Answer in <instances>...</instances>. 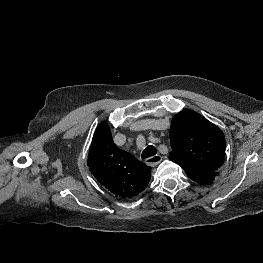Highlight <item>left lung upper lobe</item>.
I'll return each instance as SVG.
<instances>
[{"instance_id": "5c2ea615", "label": "left lung upper lobe", "mask_w": 263, "mask_h": 263, "mask_svg": "<svg viewBox=\"0 0 263 263\" xmlns=\"http://www.w3.org/2000/svg\"><path fill=\"white\" fill-rule=\"evenodd\" d=\"M169 159L188 177L218 175L225 160L226 141L222 130L200 114L185 109L171 122Z\"/></svg>"}]
</instances>
